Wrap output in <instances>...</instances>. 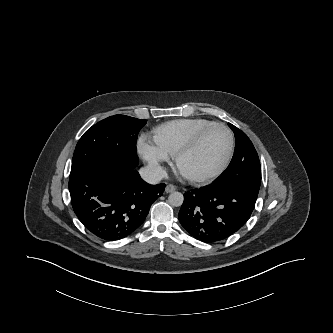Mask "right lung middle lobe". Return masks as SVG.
Masks as SVG:
<instances>
[{
	"instance_id": "dd1d6c3e",
	"label": "right lung middle lobe",
	"mask_w": 333,
	"mask_h": 333,
	"mask_svg": "<svg viewBox=\"0 0 333 333\" xmlns=\"http://www.w3.org/2000/svg\"><path fill=\"white\" fill-rule=\"evenodd\" d=\"M145 124L143 119L114 115L93 125L77 143L70 177L90 169L135 168L137 134Z\"/></svg>"
}]
</instances>
